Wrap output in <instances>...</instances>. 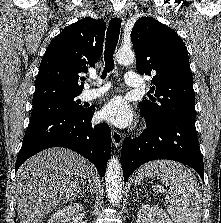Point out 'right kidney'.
I'll use <instances>...</instances> for the list:
<instances>
[{
    "label": "right kidney",
    "mask_w": 221,
    "mask_h": 223,
    "mask_svg": "<svg viewBox=\"0 0 221 223\" xmlns=\"http://www.w3.org/2000/svg\"><path fill=\"white\" fill-rule=\"evenodd\" d=\"M84 218V208L80 203H74L55 212L47 223H81Z\"/></svg>",
    "instance_id": "1"
}]
</instances>
